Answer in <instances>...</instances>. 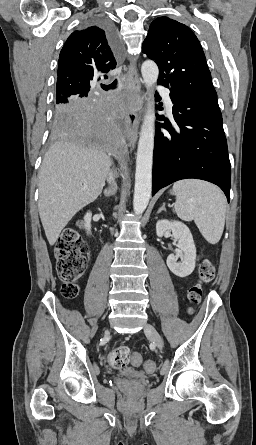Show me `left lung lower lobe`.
I'll return each mask as SVG.
<instances>
[{"mask_svg": "<svg viewBox=\"0 0 256 445\" xmlns=\"http://www.w3.org/2000/svg\"><path fill=\"white\" fill-rule=\"evenodd\" d=\"M170 97L174 120L158 116L165 122L155 131L152 196L177 180L196 178L218 185L229 202L231 168L218 101L171 88Z\"/></svg>", "mask_w": 256, "mask_h": 445, "instance_id": "1", "label": "left lung lower lobe"}]
</instances>
